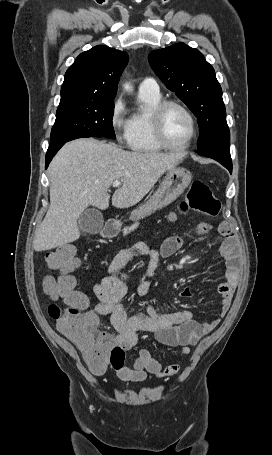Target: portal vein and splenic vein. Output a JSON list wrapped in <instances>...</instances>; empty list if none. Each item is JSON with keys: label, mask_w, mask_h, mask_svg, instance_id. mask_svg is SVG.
Listing matches in <instances>:
<instances>
[{"label": "portal vein and splenic vein", "mask_w": 272, "mask_h": 455, "mask_svg": "<svg viewBox=\"0 0 272 455\" xmlns=\"http://www.w3.org/2000/svg\"><path fill=\"white\" fill-rule=\"evenodd\" d=\"M112 184H113V187H118L121 184V181L115 180Z\"/></svg>", "instance_id": "obj_1"}]
</instances>
